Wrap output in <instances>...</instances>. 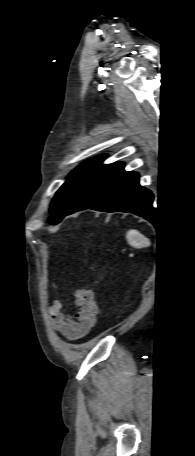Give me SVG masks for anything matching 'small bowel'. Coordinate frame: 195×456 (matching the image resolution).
<instances>
[{
	"instance_id": "1",
	"label": "small bowel",
	"mask_w": 195,
	"mask_h": 456,
	"mask_svg": "<svg viewBox=\"0 0 195 456\" xmlns=\"http://www.w3.org/2000/svg\"><path fill=\"white\" fill-rule=\"evenodd\" d=\"M72 299L78 307L74 316L63 311L65 300H55L47 307L53 328L67 340L82 338L93 328L98 308L91 290L80 289L74 292Z\"/></svg>"
}]
</instances>
